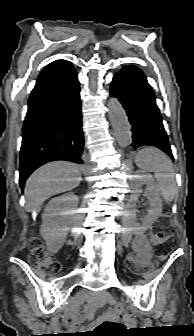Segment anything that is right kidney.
Returning a JSON list of instances; mask_svg holds the SVG:
<instances>
[{
  "mask_svg": "<svg viewBox=\"0 0 194 336\" xmlns=\"http://www.w3.org/2000/svg\"><path fill=\"white\" fill-rule=\"evenodd\" d=\"M78 202L79 198L69 193L53 198L46 205L40 232L51 252L56 253L63 246Z\"/></svg>",
  "mask_w": 194,
  "mask_h": 336,
  "instance_id": "1",
  "label": "right kidney"
}]
</instances>
